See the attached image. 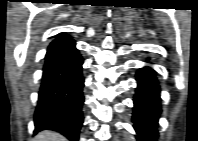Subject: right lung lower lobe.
I'll list each match as a JSON object with an SVG mask.
<instances>
[{"instance_id": "98d812e1", "label": "right lung lower lobe", "mask_w": 198, "mask_h": 141, "mask_svg": "<svg viewBox=\"0 0 198 141\" xmlns=\"http://www.w3.org/2000/svg\"><path fill=\"white\" fill-rule=\"evenodd\" d=\"M83 58L75 41L59 34L48 47L38 103L34 114L35 134L53 130L77 141L83 124Z\"/></svg>"}]
</instances>
